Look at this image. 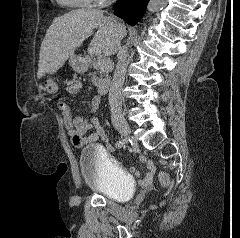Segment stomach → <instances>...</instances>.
<instances>
[{
    "mask_svg": "<svg viewBox=\"0 0 240 238\" xmlns=\"http://www.w3.org/2000/svg\"><path fill=\"white\" fill-rule=\"evenodd\" d=\"M69 64L76 72H84L87 68L85 60L78 55H72Z\"/></svg>",
    "mask_w": 240,
    "mask_h": 238,
    "instance_id": "stomach-1",
    "label": "stomach"
}]
</instances>
